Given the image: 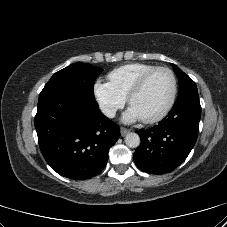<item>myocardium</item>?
Returning a JSON list of instances; mask_svg holds the SVG:
<instances>
[{
  "label": "myocardium",
  "instance_id": "1",
  "mask_svg": "<svg viewBox=\"0 0 227 227\" xmlns=\"http://www.w3.org/2000/svg\"><path fill=\"white\" fill-rule=\"evenodd\" d=\"M158 71H166L168 72V74L171 77V82H172V89H171V95L169 98L168 103L166 104V106L155 116H152L150 118H145V119H141L142 122L146 123V124H153L156 122H159L160 120H162L173 108L176 98H177V93H178V82H177V77L174 73V71L167 67V66H156L152 69H150L149 71L145 72L136 82L135 84L132 86V88L130 89L126 99H127V103L129 105H131V101L133 99V97L138 94L143 87L145 86V84L147 83V81L149 80V78L156 72Z\"/></svg>",
  "mask_w": 227,
  "mask_h": 227
}]
</instances>
